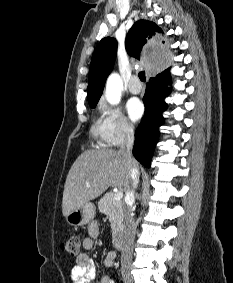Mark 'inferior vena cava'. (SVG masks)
<instances>
[{
    "mask_svg": "<svg viewBox=\"0 0 233 283\" xmlns=\"http://www.w3.org/2000/svg\"><path fill=\"white\" fill-rule=\"evenodd\" d=\"M134 143V130L132 126L126 127V139L119 149V153L126 155L131 161L132 158V147ZM139 183V170L133 165L130 187H128L125 196V206L123 208L124 217V240L121 253V268L125 270L131 266L133 245L136 232V225L133 218V204L135 201V189Z\"/></svg>",
    "mask_w": 233,
    "mask_h": 283,
    "instance_id": "1",
    "label": "inferior vena cava"
}]
</instances>
